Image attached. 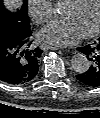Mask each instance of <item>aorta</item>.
<instances>
[{
  "instance_id": "1",
  "label": "aorta",
  "mask_w": 100,
  "mask_h": 118,
  "mask_svg": "<svg viewBox=\"0 0 100 118\" xmlns=\"http://www.w3.org/2000/svg\"><path fill=\"white\" fill-rule=\"evenodd\" d=\"M71 66L75 72L81 74L89 69L90 63L83 53H75L71 59Z\"/></svg>"
}]
</instances>
